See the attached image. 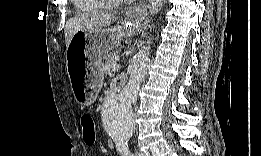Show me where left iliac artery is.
Listing matches in <instances>:
<instances>
[{
	"label": "left iliac artery",
	"instance_id": "1",
	"mask_svg": "<svg viewBox=\"0 0 261 156\" xmlns=\"http://www.w3.org/2000/svg\"><path fill=\"white\" fill-rule=\"evenodd\" d=\"M117 148H118V151L123 156H135L136 155V154L130 152V150L128 148V139L127 138L117 140Z\"/></svg>",
	"mask_w": 261,
	"mask_h": 156
}]
</instances>
